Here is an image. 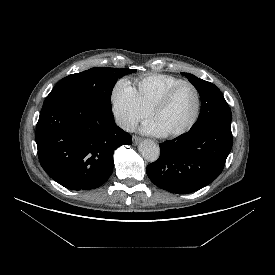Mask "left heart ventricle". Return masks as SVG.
I'll use <instances>...</instances> for the list:
<instances>
[{"mask_svg": "<svg viewBox=\"0 0 275 275\" xmlns=\"http://www.w3.org/2000/svg\"><path fill=\"white\" fill-rule=\"evenodd\" d=\"M196 109V95L189 86L180 87L166 107L153 118L165 133L178 131L192 119Z\"/></svg>", "mask_w": 275, "mask_h": 275, "instance_id": "obj_1", "label": "left heart ventricle"}]
</instances>
